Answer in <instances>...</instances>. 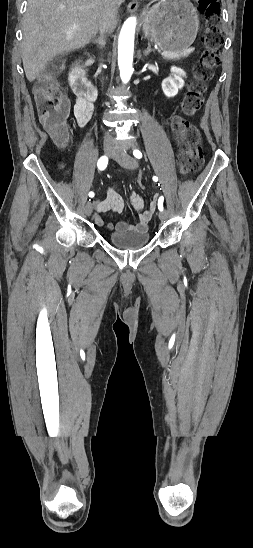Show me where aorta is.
Here are the masks:
<instances>
[{
	"label": "aorta",
	"instance_id": "762f6f07",
	"mask_svg": "<svg viewBox=\"0 0 253 548\" xmlns=\"http://www.w3.org/2000/svg\"><path fill=\"white\" fill-rule=\"evenodd\" d=\"M136 17L128 18L121 29L118 40V65L123 83H127L133 73V51Z\"/></svg>",
	"mask_w": 253,
	"mask_h": 548
}]
</instances>
